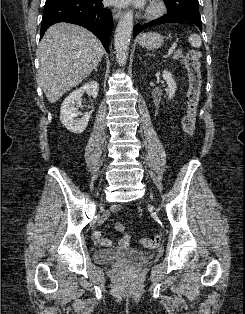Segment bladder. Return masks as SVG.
Wrapping results in <instances>:
<instances>
[{"mask_svg": "<svg viewBox=\"0 0 245 314\" xmlns=\"http://www.w3.org/2000/svg\"><path fill=\"white\" fill-rule=\"evenodd\" d=\"M145 258L146 254L144 252L133 249L98 250L96 252V260L100 263H107L114 259H126L138 262Z\"/></svg>", "mask_w": 245, "mask_h": 314, "instance_id": "obj_1", "label": "bladder"}]
</instances>
